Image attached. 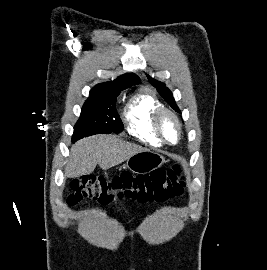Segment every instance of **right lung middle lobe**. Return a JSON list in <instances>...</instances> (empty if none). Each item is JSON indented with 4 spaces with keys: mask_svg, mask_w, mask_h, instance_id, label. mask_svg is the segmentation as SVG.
<instances>
[{
    "mask_svg": "<svg viewBox=\"0 0 267 270\" xmlns=\"http://www.w3.org/2000/svg\"><path fill=\"white\" fill-rule=\"evenodd\" d=\"M120 91H91L82 107L81 115L74 127L72 141L94 135L123 131V123L116 110V98Z\"/></svg>",
    "mask_w": 267,
    "mask_h": 270,
    "instance_id": "1",
    "label": "right lung middle lobe"
}]
</instances>
